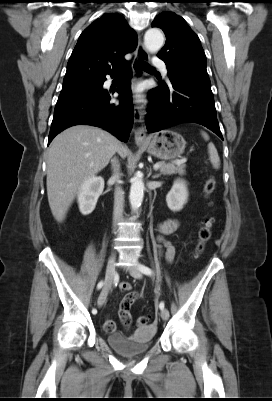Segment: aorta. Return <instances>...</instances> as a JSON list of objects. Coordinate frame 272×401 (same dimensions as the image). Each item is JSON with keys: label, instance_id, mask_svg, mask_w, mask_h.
Listing matches in <instances>:
<instances>
[{"label": "aorta", "instance_id": "aorta-1", "mask_svg": "<svg viewBox=\"0 0 272 401\" xmlns=\"http://www.w3.org/2000/svg\"><path fill=\"white\" fill-rule=\"evenodd\" d=\"M144 44L146 49L155 53L159 51L164 44V35L157 28H150L144 35ZM144 183L140 175H136L132 179L130 187L129 200L133 211H137L142 204L144 197Z\"/></svg>", "mask_w": 272, "mask_h": 401}]
</instances>
